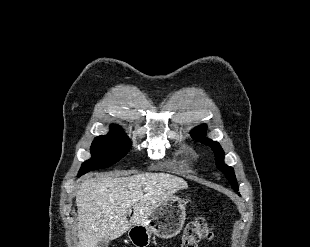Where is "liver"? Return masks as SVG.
<instances>
[{
	"instance_id": "6515ba94",
	"label": "liver",
	"mask_w": 310,
	"mask_h": 247,
	"mask_svg": "<svg viewBox=\"0 0 310 247\" xmlns=\"http://www.w3.org/2000/svg\"><path fill=\"white\" fill-rule=\"evenodd\" d=\"M185 188L184 179L164 172L85 177L76 194L77 247H97L103 238H119L131 226L145 222L158 204Z\"/></svg>"
}]
</instances>
